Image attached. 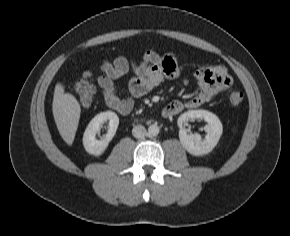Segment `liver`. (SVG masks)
I'll use <instances>...</instances> for the list:
<instances>
[{
    "instance_id": "6515ba94",
    "label": "liver",
    "mask_w": 290,
    "mask_h": 236,
    "mask_svg": "<svg viewBox=\"0 0 290 236\" xmlns=\"http://www.w3.org/2000/svg\"><path fill=\"white\" fill-rule=\"evenodd\" d=\"M52 111L61 137L68 145H72L78 128L81 107L75 96L64 92L61 83L55 86Z\"/></svg>"
}]
</instances>
